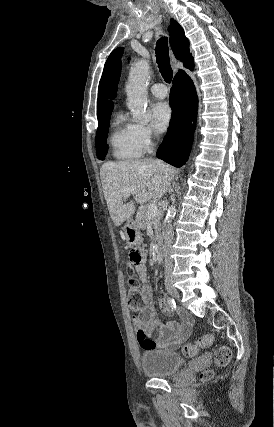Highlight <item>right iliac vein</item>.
I'll return each mask as SVG.
<instances>
[{"mask_svg": "<svg viewBox=\"0 0 274 427\" xmlns=\"http://www.w3.org/2000/svg\"><path fill=\"white\" fill-rule=\"evenodd\" d=\"M166 288L168 290V292L176 299V300H180V295L179 292L176 288H174L171 283H167Z\"/></svg>", "mask_w": 274, "mask_h": 427, "instance_id": "1", "label": "right iliac vein"}]
</instances>
